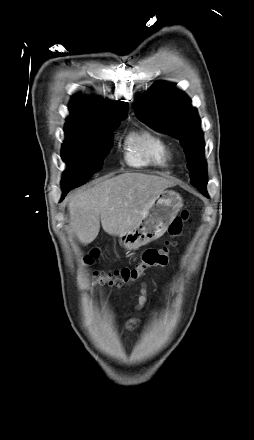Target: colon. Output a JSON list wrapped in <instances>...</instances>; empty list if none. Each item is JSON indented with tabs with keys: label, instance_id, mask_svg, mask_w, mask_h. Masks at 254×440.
I'll return each mask as SVG.
<instances>
[{
	"label": "colon",
	"instance_id": "5ec220e1",
	"mask_svg": "<svg viewBox=\"0 0 254 440\" xmlns=\"http://www.w3.org/2000/svg\"><path fill=\"white\" fill-rule=\"evenodd\" d=\"M188 218V212L184 211L169 226L168 239L160 248H148L141 256V260L134 266L122 267L112 271L94 272L97 282L102 285H123L134 282L141 278L145 272L157 266H165L169 262L170 252L174 246L175 239L181 234L184 222ZM98 255L96 250L92 251L87 257L91 261Z\"/></svg>",
	"mask_w": 254,
	"mask_h": 440
}]
</instances>
